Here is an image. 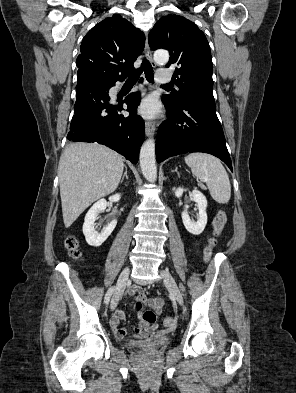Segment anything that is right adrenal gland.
Segmentation results:
<instances>
[{
  "label": "right adrenal gland",
  "mask_w": 296,
  "mask_h": 393,
  "mask_svg": "<svg viewBox=\"0 0 296 393\" xmlns=\"http://www.w3.org/2000/svg\"><path fill=\"white\" fill-rule=\"evenodd\" d=\"M124 167H125V172H124V175L122 176L121 183H123L124 178L128 179V176H127V166L125 165Z\"/></svg>",
  "instance_id": "obj_1"
}]
</instances>
